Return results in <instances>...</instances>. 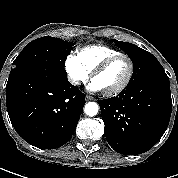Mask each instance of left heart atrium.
<instances>
[{
  "label": "left heart atrium",
  "mask_w": 178,
  "mask_h": 178,
  "mask_svg": "<svg viewBox=\"0 0 178 178\" xmlns=\"http://www.w3.org/2000/svg\"><path fill=\"white\" fill-rule=\"evenodd\" d=\"M88 88L89 90L94 91V92L101 91V88L94 81L89 85Z\"/></svg>",
  "instance_id": "obj_1"
}]
</instances>
